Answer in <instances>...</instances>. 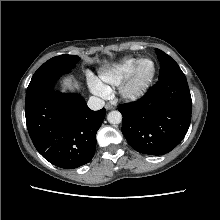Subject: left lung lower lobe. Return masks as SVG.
Returning <instances> with one entry per match:
<instances>
[{
    "mask_svg": "<svg viewBox=\"0 0 220 220\" xmlns=\"http://www.w3.org/2000/svg\"><path fill=\"white\" fill-rule=\"evenodd\" d=\"M123 116L122 133L138 152L163 155L185 137L192 113V100L184 74L160 79L136 102L118 107Z\"/></svg>",
    "mask_w": 220,
    "mask_h": 220,
    "instance_id": "obj_1",
    "label": "left lung lower lobe"
}]
</instances>
